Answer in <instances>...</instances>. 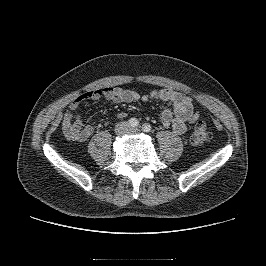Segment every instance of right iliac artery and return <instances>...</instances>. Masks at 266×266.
<instances>
[{"label": "right iliac artery", "mask_w": 266, "mask_h": 266, "mask_svg": "<svg viewBox=\"0 0 266 266\" xmlns=\"http://www.w3.org/2000/svg\"><path fill=\"white\" fill-rule=\"evenodd\" d=\"M128 123L133 128L139 125V121L136 118L129 119Z\"/></svg>", "instance_id": "1"}]
</instances>
